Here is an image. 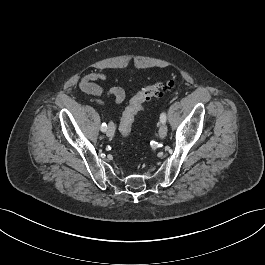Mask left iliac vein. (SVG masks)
<instances>
[{
  "label": "left iliac vein",
  "instance_id": "left-iliac-vein-1",
  "mask_svg": "<svg viewBox=\"0 0 265 265\" xmlns=\"http://www.w3.org/2000/svg\"><path fill=\"white\" fill-rule=\"evenodd\" d=\"M167 131H168L167 125L165 123H162L159 128V137L160 138L166 137Z\"/></svg>",
  "mask_w": 265,
  "mask_h": 265
}]
</instances>
